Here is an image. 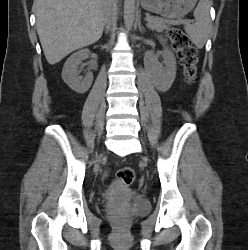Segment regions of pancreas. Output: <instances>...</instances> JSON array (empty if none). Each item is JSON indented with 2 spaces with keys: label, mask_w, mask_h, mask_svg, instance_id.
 <instances>
[{
  "label": "pancreas",
  "mask_w": 248,
  "mask_h": 250,
  "mask_svg": "<svg viewBox=\"0 0 248 250\" xmlns=\"http://www.w3.org/2000/svg\"><path fill=\"white\" fill-rule=\"evenodd\" d=\"M170 24L171 22L168 20H165L159 17H153L151 21H148L147 26L151 30H156L160 32L165 29H168Z\"/></svg>",
  "instance_id": "obj_1"
}]
</instances>
